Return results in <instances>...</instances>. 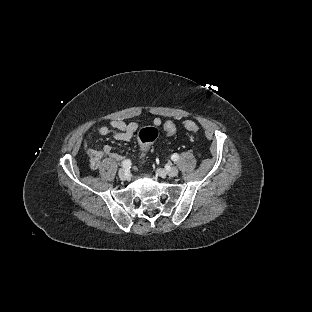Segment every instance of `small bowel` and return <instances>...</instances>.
Listing matches in <instances>:
<instances>
[{
    "label": "small bowel",
    "instance_id": "small-bowel-1",
    "mask_svg": "<svg viewBox=\"0 0 312 312\" xmlns=\"http://www.w3.org/2000/svg\"><path fill=\"white\" fill-rule=\"evenodd\" d=\"M155 126H160L162 121L160 118L153 120ZM139 125L137 122L126 123L122 120H115L110 125H101L98 129V133L102 136H112L119 141H129L137 132ZM84 150L89 157L90 167L93 170H97L100 167L101 160L104 156L120 160L122 156L116 153L111 146H104L101 150L92 148L87 140L83 142Z\"/></svg>",
    "mask_w": 312,
    "mask_h": 312
}]
</instances>
